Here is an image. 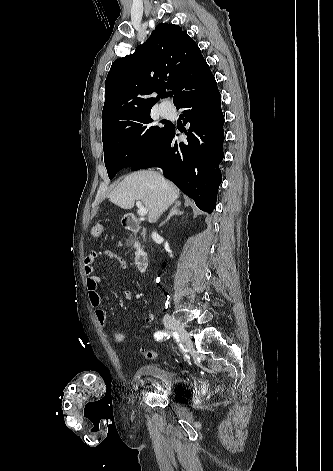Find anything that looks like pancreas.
<instances>
[{"label": "pancreas", "instance_id": "pancreas-1", "mask_svg": "<svg viewBox=\"0 0 333 471\" xmlns=\"http://www.w3.org/2000/svg\"><path fill=\"white\" fill-rule=\"evenodd\" d=\"M132 242H133V237H130V238L127 240L126 244H127V245H130Z\"/></svg>", "mask_w": 333, "mask_h": 471}]
</instances>
